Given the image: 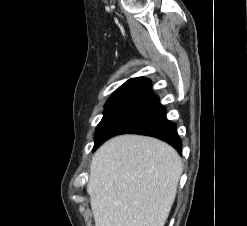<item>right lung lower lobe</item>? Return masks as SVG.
<instances>
[{
    "label": "right lung lower lobe",
    "mask_w": 247,
    "mask_h": 226,
    "mask_svg": "<svg viewBox=\"0 0 247 226\" xmlns=\"http://www.w3.org/2000/svg\"><path fill=\"white\" fill-rule=\"evenodd\" d=\"M125 133L156 137L181 153L176 124L166 118V109L152 94L151 81L147 78L128 80L110 97L95 131L93 151L107 139Z\"/></svg>",
    "instance_id": "obj_1"
}]
</instances>
